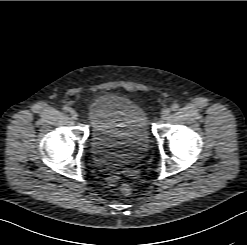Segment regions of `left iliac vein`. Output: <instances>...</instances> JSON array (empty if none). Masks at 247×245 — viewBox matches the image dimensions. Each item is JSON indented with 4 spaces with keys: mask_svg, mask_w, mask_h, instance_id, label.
I'll list each match as a JSON object with an SVG mask.
<instances>
[{
    "mask_svg": "<svg viewBox=\"0 0 247 245\" xmlns=\"http://www.w3.org/2000/svg\"><path fill=\"white\" fill-rule=\"evenodd\" d=\"M169 114H170V109H169V108H166V109H164V110L162 111V113H161V118H162L163 120H165V119L169 116Z\"/></svg>",
    "mask_w": 247,
    "mask_h": 245,
    "instance_id": "4c4485c4",
    "label": "left iliac vein"
}]
</instances>
